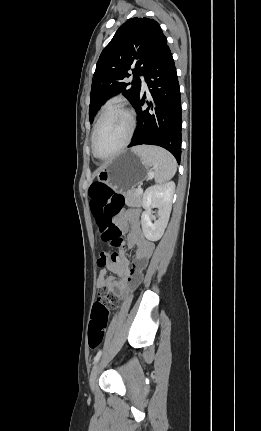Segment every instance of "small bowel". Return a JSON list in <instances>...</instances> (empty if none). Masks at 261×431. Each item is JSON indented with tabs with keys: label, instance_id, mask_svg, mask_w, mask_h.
<instances>
[{
	"label": "small bowel",
	"instance_id": "1",
	"mask_svg": "<svg viewBox=\"0 0 261 431\" xmlns=\"http://www.w3.org/2000/svg\"><path fill=\"white\" fill-rule=\"evenodd\" d=\"M139 214L138 209H126L118 217L120 228L129 230L126 238L127 246L136 248L132 266H129V261L122 252L119 253L120 258L117 262L99 265L101 269L98 275V287L119 298L124 297L128 290L140 281L142 272L147 267L155 248L154 243L142 234ZM108 271L115 274L117 278L108 275Z\"/></svg>",
	"mask_w": 261,
	"mask_h": 431
}]
</instances>
